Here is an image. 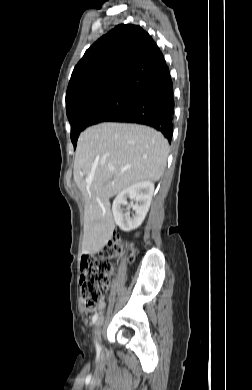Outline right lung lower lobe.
I'll list each match as a JSON object with an SVG mask.
<instances>
[{
    "instance_id": "obj_1",
    "label": "right lung lower lobe",
    "mask_w": 252,
    "mask_h": 390,
    "mask_svg": "<svg viewBox=\"0 0 252 390\" xmlns=\"http://www.w3.org/2000/svg\"><path fill=\"white\" fill-rule=\"evenodd\" d=\"M174 96L171 76L141 90L123 111L106 121L128 122L151 126L171 142L173 134Z\"/></svg>"
}]
</instances>
